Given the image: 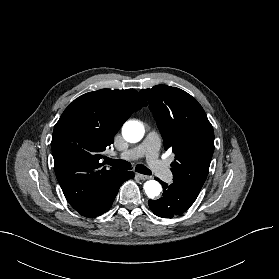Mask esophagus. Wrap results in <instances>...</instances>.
I'll return each instance as SVG.
<instances>
[{"instance_id":"1","label":"esophagus","mask_w":279,"mask_h":279,"mask_svg":"<svg viewBox=\"0 0 279 279\" xmlns=\"http://www.w3.org/2000/svg\"><path fill=\"white\" fill-rule=\"evenodd\" d=\"M137 177L141 180H148L151 178L150 176L143 175V174H137Z\"/></svg>"}]
</instances>
